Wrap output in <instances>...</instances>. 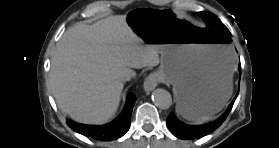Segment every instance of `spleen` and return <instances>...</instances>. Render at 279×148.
Masks as SVG:
<instances>
[{
	"instance_id": "spleen-1",
	"label": "spleen",
	"mask_w": 279,
	"mask_h": 148,
	"mask_svg": "<svg viewBox=\"0 0 279 148\" xmlns=\"http://www.w3.org/2000/svg\"><path fill=\"white\" fill-rule=\"evenodd\" d=\"M232 53V52H231ZM233 55V54H232ZM235 61V60H234ZM229 87H230V89H231V94H232V81H231V83L229 84ZM231 94H230V96H231ZM230 96H229V98H230ZM228 98V99H229ZM214 118V116H203V117H201V118H196V122L198 123V124H201V123H205V122H207V121H209V120H212Z\"/></svg>"
}]
</instances>
